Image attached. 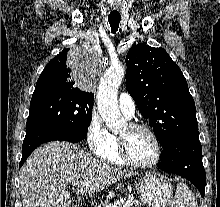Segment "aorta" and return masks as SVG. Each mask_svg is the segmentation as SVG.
I'll return each instance as SVG.
<instances>
[{
	"label": "aorta",
	"mask_w": 220,
	"mask_h": 207,
	"mask_svg": "<svg viewBox=\"0 0 220 207\" xmlns=\"http://www.w3.org/2000/svg\"><path fill=\"white\" fill-rule=\"evenodd\" d=\"M125 75L120 63L112 64L100 79L97 91L98 111L111 131L120 129L126 122L118 107L117 94Z\"/></svg>",
	"instance_id": "obj_1"
}]
</instances>
